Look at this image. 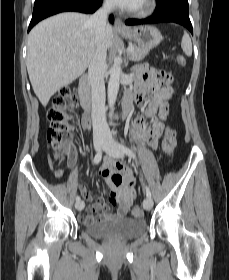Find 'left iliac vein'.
<instances>
[{"label":"left iliac vein","instance_id":"obj_1","mask_svg":"<svg viewBox=\"0 0 229 280\" xmlns=\"http://www.w3.org/2000/svg\"><path fill=\"white\" fill-rule=\"evenodd\" d=\"M104 151L114 157V158H123L124 153L120 146L115 143L110 137H108L105 141V144L103 146ZM143 207L146 211H149L153 207V200L151 197H146L143 201Z\"/></svg>","mask_w":229,"mask_h":280}]
</instances>
